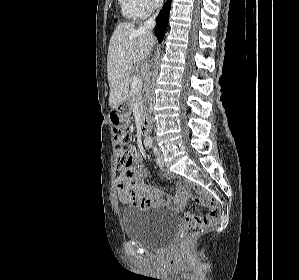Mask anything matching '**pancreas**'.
Returning <instances> with one entry per match:
<instances>
[{
    "instance_id": "obj_1",
    "label": "pancreas",
    "mask_w": 299,
    "mask_h": 280,
    "mask_svg": "<svg viewBox=\"0 0 299 280\" xmlns=\"http://www.w3.org/2000/svg\"><path fill=\"white\" fill-rule=\"evenodd\" d=\"M127 101L131 108L134 105H138L139 108L142 110L143 109V100H142L141 88L135 92L133 90H130L128 93Z\"/></svg>"
}]
</instances>
